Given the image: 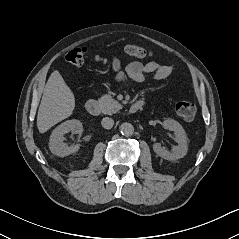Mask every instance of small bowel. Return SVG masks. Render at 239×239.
Segmentation results:
<instances>
[{"instance_id": "1", "label": "small bowel", "mask_w": 239, "mask_h": 239, "mask_svg": "<svg viewBox=\"0 0 239 239\" xmlns=\"http://www.w3.org/2000/svg\"><path fill=\"white\" fill-rule=\"evenodd\" d=\"M94 61L103 66H109L111 77L115 82H121L126 78L135 82H142L146 75H152L156 80H163L170 77L173 73L172 66L163 65L156 61H150L144 64L140 61L134 60L128 65L126 72L121 70V62L117 57L108 61L106 58L96 55Z\"/></svg>"}]
</instances>
